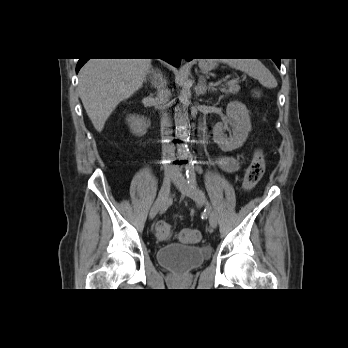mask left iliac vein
<instances>
[{"instance_id":"obj_1","label":"left iliac vein","mask_w":348,"mask_h":348,"mask_svg":"<svg viewBox=\"0 0 348 348\" xmlns=\"http://www.w3.org/2000/svg\"><path fill=\"white\" fill-rule=\"evenodd\" d=\"M175 186L186 196L193 199L199 205H207V200L202 191L196 186L190 185L187 180L183 177L177 178L174 180ZM207 212L209 216L210 227L215 229L217 227V216L211 210L210 207H207Z\"/></svg>"}]
</instances>
